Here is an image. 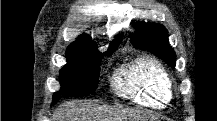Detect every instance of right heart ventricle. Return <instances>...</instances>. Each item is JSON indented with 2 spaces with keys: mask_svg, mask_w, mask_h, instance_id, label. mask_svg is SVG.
<instances>
[{
  "mask_svg": "<svg viewBox=\"0 0 217 121\" xmlns=\"http://www.w3.org/2000/svg\"><path fill=\"white\" fill-rule=\"evenodd\" d=\"M117 93L151 107H162L170 100V80L157 61L142 57L123 67L114 79Z\"/></svg>",
  "mask_w": 217,
  "mask_h": 121,
  "instance_id": "1",
  "label": "right heart ventricle"
}]
</instances>
